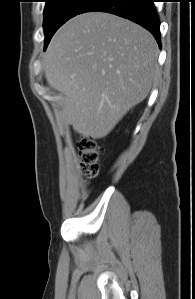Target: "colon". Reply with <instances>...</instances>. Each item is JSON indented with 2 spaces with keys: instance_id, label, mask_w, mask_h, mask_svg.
I'll return each mask as SVG.
<instances>
[{
  "instance_id": "5ec220e1",
  "label": "colon",
  "mask_w": 195,
  "mask_h": 299,
  "mask_svg": "<svg viewBox=\"0 0 195 299\" xmlns=\"http://www.w3.org/2000/svg\"><path fill=\"white\" fill-rule=\"evenodd\" d=\"M81 172L87 179L96 177L99 172L101 148L93 137L82 136L78 144Z\"/></svg>"
}]
</instances>
